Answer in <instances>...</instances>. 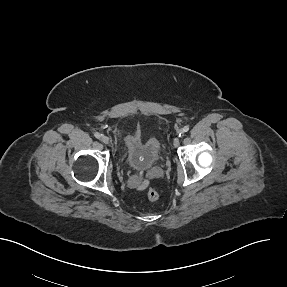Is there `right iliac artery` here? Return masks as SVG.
<instances>
[{
	"mask_svg": "<svg viewBox=\"0 0 287 287\" xmlns=\"http://www.w3.org/2000/svg\"><path fill=\"white\" fill-rule=\"evenodd\" d=\"M94 136H95L97 139H99V138L101 137V134L98 133V132H96V133H94Z\"/></svg>",
	"mask_w": 287,
	"mask_h": 287,
	"instance_id": "right-iliac-artery-1",
	"label": "right iliac artery"
}]
</instances>
